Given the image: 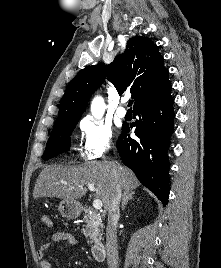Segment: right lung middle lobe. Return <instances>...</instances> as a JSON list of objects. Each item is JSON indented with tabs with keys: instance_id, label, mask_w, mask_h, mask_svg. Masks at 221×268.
<instances>
[{
	"instance_id": "1",
	"label": "right lung middle lobe",
	"mask_w": 221,
	"mask_h": 268,
	"mask_svg": "<svg viewBox=\"0 0 221 268\" xmlns=\"http://www.w3.org/2000/svg\"><path fill=\"white\" fill-rule=\"evenodd\" d=\"M80 118L55 123L42 156L44 160L67 151L71 145L70 135Z\"/></svg>"
}]
</instances>
